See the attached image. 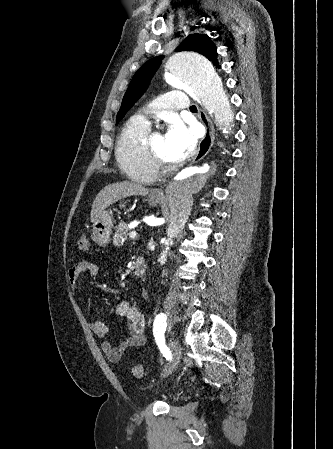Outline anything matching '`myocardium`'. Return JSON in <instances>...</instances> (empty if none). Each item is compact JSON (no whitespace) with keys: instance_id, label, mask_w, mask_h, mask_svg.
Segmentation results:
<instances>
[{"instance_id":"myocardium-1","label":"myocardium","mask_w":333,"mask_h":449,"mask_svg":"<svg viewBox=\"0 0 333 449\" xmlns=\"http://www.w3.org/2000/svg\"><path fill=\"white\" fill-rule=\"evenodd\" d=\"M150 141L151 138L147 137L144 142V147L151 163L153 164L157 172L159 173L169 169L171 167V163L157 155V153L151 147Z\"/></svg>"}]
</instances>
